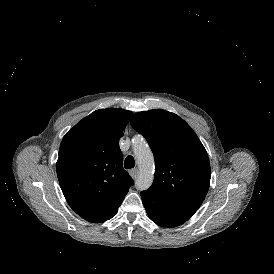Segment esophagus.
Segmentation results:
<instances>
[{"instance_id":"esophagus-1","label":"esophagus","mask_w":274,"mask_h":274,"mask_svg":"<svg viewBox=\"0 0 274 274\" xmlns=\"http://www.w3.org/2000/svg\"><path fill=\"white\" fill-rule=\"evenodd\" d=\"M129 174L131 175V177H132L133 179H136V177H137V175H138V170H137V168H134V169L130 170V171H129Z\"/></svg>"}]
</instances>
